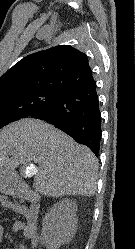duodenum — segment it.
Segmentation results:
<instances>
[{
    "instance_id": "410a0bca",
    "label": "duodenum",
    "mask_w": 135,
    "mask_h": 249,
    "mask_svg": "<svg viewBox=\"0 0 135 249\" xmlns=\"http://www.w3.org/2000/svg\"><path fill=\"white\" fill-rule=\"evenodd\" d=\"M20 193L21 197L30 203L36 204L39 202V195L30 188H21ZM31 206L37 207L36 205Z\"/></svg>"
}]
</instances>
